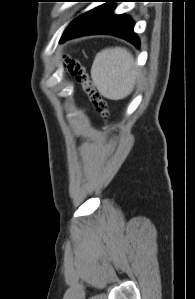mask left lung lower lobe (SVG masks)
<instances>
[{"label":"left lung lower lobe","mask_w":195,"mask_h":299,"mask_svg":"<svg viewBox=\"0 0 195 299\" xmlns=\"http://www.w3.org/2000/svg\"><path fill=\"white\" fill-rule=\"evenodd\" d=\"M118 1L105 0L107 3L81 15L65 30L60 43L83 35L105 34L123 38L139 47V38L133 32V20L127 15L113 14L114 2Z\"/></svg>","instance_id":"0a47b994"}]
</instances>
